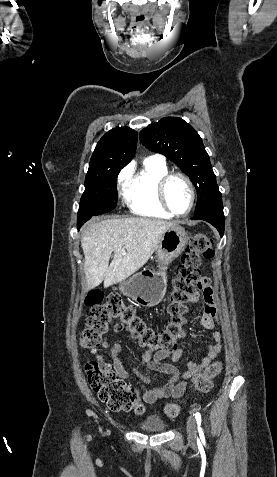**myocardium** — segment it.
Wrapping results in <instances>:
<instances>
[{
    "instance_id": "f54148a6",
    "label": "myocardium",
    "mask_w": 277,
    "mask_h": 477,
    "mask_svg": "<svg viewBox=\"0 0 277 477\" xmlns=\"http://www.w3.org/2000/svg\"><path fill=\"white\" fill-rule=\"evenodd\" d=\"M176 177L183 179L187 183V185L189 187V191H190L189 207L187 208L186 211H184L182 213L175 212L171 208V206L169 205V202H168V199H167V186H168L169 182L173 178H176ZM157 196H158V200H159L162 208L173 217H185V216H187L193 210L194 205H195V201H196L195 186H194L192 180L186 174H184L182 172H168L165 175H163L160 178V180L158 181V184H157Z\"/></svg>"
}]
</instances>
